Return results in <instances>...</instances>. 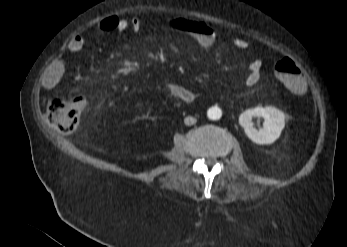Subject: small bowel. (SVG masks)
Wrapping results in <instances>:
<instances>
[{
	"instance_id": "obj_1",
	"label": "small bowel",
	"mask_w": 347,
	"mask_h": 247,
	"mask_svg": "<svg viewBox=\"0 0 347 247\" xmlns=\"http://www.w3.org/2000/svg\"><path fill=\"white\" fill-rule=\"evenodd\" d=\"M141 27L142 23L138 18L123 19L116 16H111L105 18L100 23L98 29L102 33H120L129 29L132 31H139ZM169 27L173 30L187 33L206 50L212 49L217 43V35L215 31L205 21L195 19H176L170 21ZM84 44V38L81 35H75L69 40L67 49L72 53H77L83 49ZM231 45L241 53H246L248 50L247 40L240 36L232 37ZM250 66L251 69L245 78V84L247 86H253L259 81V71L262 63L260 60L253 59L250 61ZM64 71L65 66L61 60H54L52 63H50L42 78L43 88L46 90L56 88L64 75ZM80 76L81 78H84L83 75ZM164 86L170 95L184 103H192L195 100V93L185 86L174 83H167ZM304 92L300 94H303Z\"/></svg>"
}]
</instances>
